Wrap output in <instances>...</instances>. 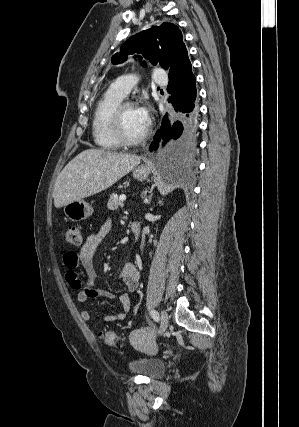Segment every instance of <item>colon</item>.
<instances>
[{
  "mask_svg": "<svg viewBox=\"0 0 299 427\" xmlns=\"http://www.w3.org/2000/svg\"><path fill=\"white\" fill-rule=\"evenodd\" d=\"M63 238L65 241L74 246H80L82 244L81 230L78 225H70L63 231ZM98 337L105 344L120 348L123 345V340L117 334L110 330H99Z\"/></svg>",
  "mask_w": 299,
  "mask_h": 427,
  "instance_id": "5ec220e1",
  "label": "colon"
}]
</instances>
